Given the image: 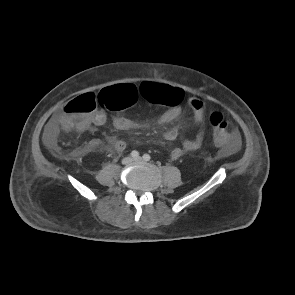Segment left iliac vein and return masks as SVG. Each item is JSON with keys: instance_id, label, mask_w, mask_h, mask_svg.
Segmentation results:
<instances>
[{"instance_id": "obj_1", "label": "left iliac vein", "mask_w": 295, "mask_h": 295, "mask_svg": "<svg viewBox=\"0 0 295 295\" xmlns=\"http://www.w3.org/2000/svg\"><path fill=\"white\" fill-rule=\"evenodd\" d=\"M134 161L140 162V161H142V158L141 157L135 158Z\"/></svg>"}]
</instances>
